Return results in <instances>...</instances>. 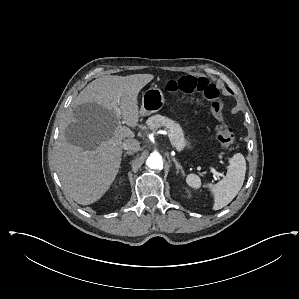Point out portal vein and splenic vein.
<instances>
[{"mask_svg":"<svg viewBox=\"0 0 299 299\" xmlns=\"http://www.w3.org/2000/svg\"><path fill=\"white\" fill-rule=\"evenodd\" d=\"M114 108L118 109L116 104L114 105ZM169 138H170V135L168 134ZM211 171L215 174V175H218V172H216L215 169L211 168Z\"/></svg>","mask_w":299,"mask_h":299,"instance_id":"1","label":"portal vein and splenic vein"}]
</instances>
